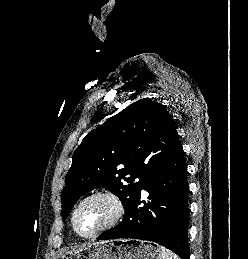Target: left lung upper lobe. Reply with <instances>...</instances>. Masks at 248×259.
<instances>
[{
	"label": "left lung upper lobe",
	"mask_w": 248,
	"mask_h": 259,
	"mask_svg": "<svg viewBox=\"0 0 248 259\" xmlns=\"http://www.w3.org/2000/svg\"><path fill=\"white\" fill-rule=\"evenodd\" d=\"M179 146L164 105L148 98L132 103L92 130L74 152L61 194L63 220L84 193L100 186L118 196L126 211L153 171Z\"/></svg>",
	"instance_id": "obj_1"
}]
</instances>
